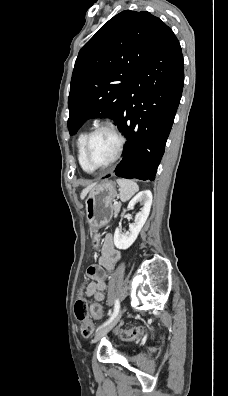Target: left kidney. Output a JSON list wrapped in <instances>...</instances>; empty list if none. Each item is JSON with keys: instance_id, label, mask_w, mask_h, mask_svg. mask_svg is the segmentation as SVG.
I'll list each match as a JSON object with an SVG mask.
<instances>
[{"instance_id": "obj_1", "label": "left kidney", "mask_w": 228, "mask_h": 396, "mask_svg": "<svg viewBox=\"0 0 228 396\" xmlns=\"http://www.w3.org/2000/svg\"><path fill=\"white\" fill-rule=\"evenodd\" d=\"M137 203L142 205L141 210L135 215L134 223L129 225V232L121 233L116 228L114 233V244L118 249H128L137 239L139 232L144 226L152 204V193L150 190L139 192L128 204V209H133ZM124 213L121 215L123 217Z\"/></svg>"}]
</instances>
